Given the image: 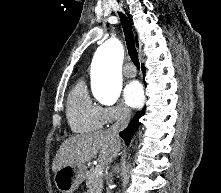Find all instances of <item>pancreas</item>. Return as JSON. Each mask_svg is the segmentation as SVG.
Listing matches in <instances>:
<instances>
[{
	"instance_id": "cf45deb5",
	"label": "pancreas",
	"mask_w": 221,
	"mask_h": 193,
	"mask_svg": "<svg viewBox=\"0 0 221 193\" xmlns=\"http://www.w3.org/2000/svg\"><path fill=\"white\" fill-rule=\"evenodd\" d=\"M86 186L88 188L87 193H102L103 175L96 174L94 168L90 169L86 173Z\"/></svg>"
}]
</instances>
